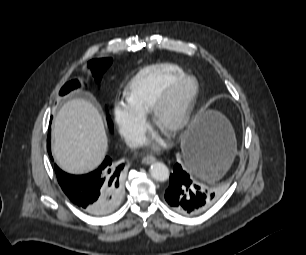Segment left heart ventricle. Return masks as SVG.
Instances as JSON below:
<instances>
[{
	"mask_svg": "<svg viewBox=\"0 0 306 255\" xmlns=\"http://www.w3.org/2000/svg\"><path fill=\"white\" fill-rule=\"evenodd\" d=\"M190 88L185 89L176 99L175 101L168 106L161 115L159 126L160 128H164L169 123H171L177 116L182 103L185 100Z\"/></svg>",
	"mask_w": 306,
	"mask_h": 255,
	"instance_id": "obj_1",
	"label": "left heart ventricle"
}]
</instances>
